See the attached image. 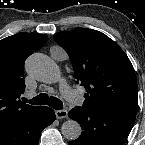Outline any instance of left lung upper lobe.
Listing matches in <instances>:
<instances>
[{
  "label": "left lung upper lobe",
  "mask_w": 145,
  "mask_h": 145,
  "mask_svg": "<svg viewBox=\"0 0 145 145\" xmlns=\"http://www.w3.org/2000/svg\"><path fill=\"white\" fill-rule=\"evenodd\" d=\"M54 39L68 53L77 83L86 88L83 108L137 112L135 71L113 40L87 28L61 31Z\"/></svg>",
  "instance_id": "obj_1"
}]
</instances>
